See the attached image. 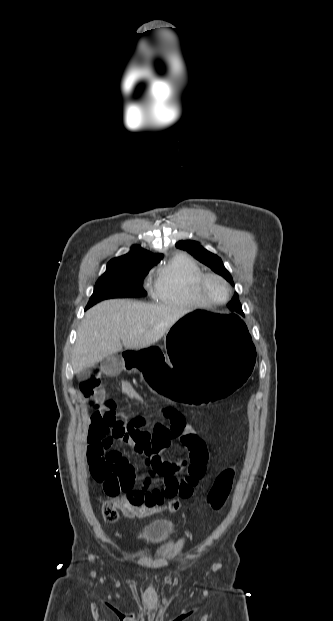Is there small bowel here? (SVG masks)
Segmentation results:
<instances>
[{
  "mask_svg": "<svg viewBox=\"0 0 333 621\" xmlns=\"http://www.w3.org/2000/svg\"><path fill=\"white\" fill-rule=\"evenodd\" d=\"M119 367L116 357H107L100 367L91 368L81 379L79 389L92 413L87 434L86 460L91 474L101 462H108L121 469L128 461L115 445L132 446L136 452L146 455L148 474L141 485L126 491L123 497L132 507L163 505L166 499L189 498L204 477L208 452L199 433L187 420L185 414L170 405L158 407L164 421L147 429L144 417L129 420L119 412L113 400L105 397L100 374L113 373ZM123 394L137 402H143L140 394L126 381L120 383ZM179 439L185 458L177 463L163 459L161 453L170 446L171 440ZM160 480L159 485H155Z\"/></svg>",
  "mask_w": 333,
  "mask_h": 621,
  "instance_id": "1",
  "label": "small bowel"
}]
</instances>
